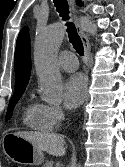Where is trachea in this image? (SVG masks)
Instances as JSON below:
<instances>
[{
	"instance_id": "3493384b",
	"label": "trachea",
	"mask_w": 125,
	"mask_h": 167,
	"mask_svg": "<svg viewBox=\"0 0 125 167\" xmlns=\"http://www.w3.org/2000/svg\"><path fill=\"white\" fill-rule=\"evenodd\" d=\"M54 4L56 7V10L59 12L62 19L65 21H68L69 20V6H68L67 1L66 0H54ZM66 26H67L69 41L72 43L76 52L82 56L84 54L83 43L81 41L80 36L77 33V30L74 24L72 22H67Z\"/></svg>"
}]
</instances>
